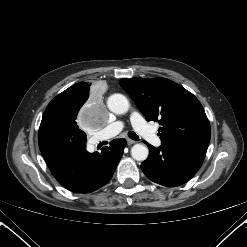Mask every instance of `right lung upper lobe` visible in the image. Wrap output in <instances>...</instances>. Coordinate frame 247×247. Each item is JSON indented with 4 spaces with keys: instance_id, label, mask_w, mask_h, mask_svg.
<instances>
[{
    "instance_id": "obj_1",
    "label": "right lung upper lobe",
    "mask_w": 247,
    "mask_h": 247,
    "mask_svg": "<svg viewBox=\"0 0 247 247\" xmlns=\"http://www.w3.org/2000/svg\"><path fill=\"white\" fill-rule=\"evenodd\" d=\"M63 92L72 93L77 98L85 100L89 97L90 85L85 82H80V83L72 85L71 87H69Z\"/></svg>"
}]
</instances>
